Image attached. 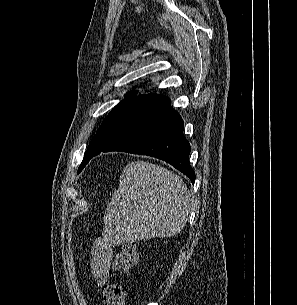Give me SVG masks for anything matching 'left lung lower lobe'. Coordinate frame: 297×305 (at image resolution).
<instances>
[{"label": "left lung lower lobe", "instance_id": "1", "mask_svg": "<svg viewBox=\"0 0 297 305\" xmlns=\"http://www.w3.org/2000/svg\"><path fill=\"white\" fill-rule=\"evenodd\" d=\"M109 151L156 157L181 171L193 184L195 182V172L189 163L191 147L183 135V120L166 96L135 97L116 117L90 159Z\"/></svg>", "mask_w": 297, "mask_h": 305}]
</instances>
